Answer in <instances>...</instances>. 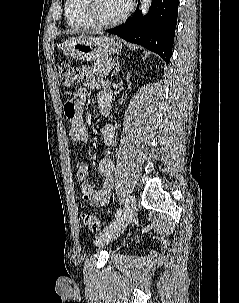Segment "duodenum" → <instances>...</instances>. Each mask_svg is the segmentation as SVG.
Segmentation results:
<instances>
[{"mask_svg":"<svg viewBox=\"0 0 239 303\" xmlns=\"http://www.w3.org/2000/svg\"><path fill=\"white\" fill-rule=\"evenodd\" d=\"M102 112H103V114H108L109 113V109L104 108V109H102Z\"/></svg>","mask_w":239,"mask_h":303,"instance_id":"1","label":"duodenum"}]
</instances>
